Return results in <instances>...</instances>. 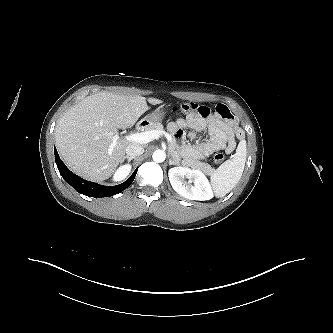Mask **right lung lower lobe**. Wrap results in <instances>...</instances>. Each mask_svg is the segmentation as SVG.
Wrapping results in <instances>:
<instances>
[{
	"instance_id": "1",
	"label": "right lung lower lobe",
	"mask_w": 333,
	"mask_h": 333,
	"mask_svg": "<svg viewBox=\"0 0 333 333\" xmlns=\"http://www.w3.org/2000/svg\"><path fill=\"white\" fill-rule=\"evenodd\" d=\"M54 152L55 161L63 179L68 184H70L77 192L88 197H108L116 195L128 188L136 176L137 169L134 171L131 177L122 184L116 186L99 185L97 183L86 181L77 176L76 174H73V172H71L60 159L56 148L54 149Z\"/></svg>"
}]
</instances>
